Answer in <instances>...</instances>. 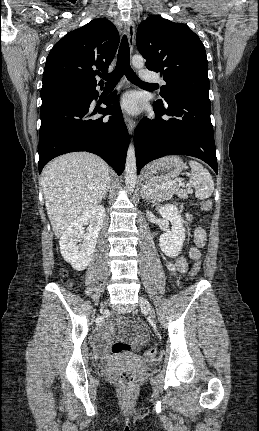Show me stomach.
I'll list each match as a JSON object with an SVG mask.
<instances>
[{"label":"stomach","mask_w":259,"mask_h":431,"mask_svg":"<svg viewBox=\"0 0 259 431\" xmlns=\"http://www.w3.org/2000/svg\"><path fill=\"white\" fill-rule=\"evenodd\" d=\"M185 163L178 156H167L149 164L143 173L146 184H162L177 177L185 168Z\"/></svg>","instance_id":"obj_1"}]
</instances>
